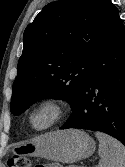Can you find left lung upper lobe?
<instances>
[{"label":"left lung upper lobe","mask_w":125,"mask_h":167,"mask_svg":"<svg viewBox=\"0 0 125 167\" xmlns=\"http://www.w3.org/2000/svg\"><path fill=\"white\" fill-rule=\"evenodd\" d=\"M119 10L111 0H59L27 26L10 109L20 115L41 98L74 104Z\"/></svg>","instance_id":"5c2ea615"}]
</instances>
